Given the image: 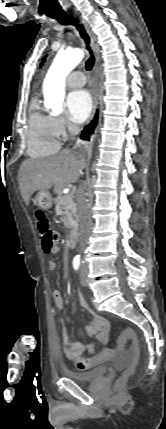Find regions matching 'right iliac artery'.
I'll list each match as a JSON object with an SVG mask.
<instances>
[{
    "instance_id": "82829eb1",
    "label": "right iliac artery",
    "mask_w": 166,
    "mask_h": 429,
    "mask_svg": "<svg viewBox=\"0 0 166 429\" xmlns=\"http://www.w3.org/2000/svg\"><path fill=\"white\" fill-rule=\"evenodd\" d=\"M79 266H80V256L77 255L73 259V267H74L75 270H78Z\"/></svg>"
}]
</instances>
